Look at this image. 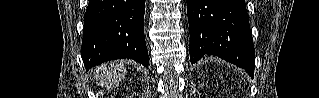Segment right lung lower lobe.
<instances>
[{
    "label": "right lung lower lobe",
    "mask_w": 319,
    "mask_h": 98,
    "mask_svg": "<svg viewBox=\"0 0 319 98\" xmlns=\"http://www.w3.org/2000/svg\"><path fill=\"white\" fill-rule=\"evenodd\" d=\"M144 13L145 0H89L81 47L86 69L122 58L148 67Z\"/></svg>",
    "instance_id": "right-lung-lower-lobe-1"
}]
</instances>
